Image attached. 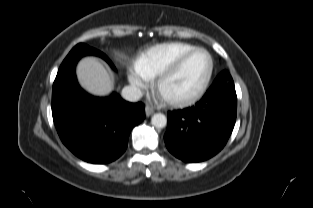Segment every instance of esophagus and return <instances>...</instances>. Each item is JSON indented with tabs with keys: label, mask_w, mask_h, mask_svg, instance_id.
<instances>
[{
	"label": "esophagus",
	"mask_w": 313,
	"mask_h": 208,
	"mask_svg": "<svg viewBox=\"0 0 313 208\" xmlns=\"http://www.w3.org/2000/svg\"><path fill=\"white\" fill-rule=\"evenodd\" d=\"M155 112L154 108L152 106H146L145 107V114L147 117L152 115Z\"/></svg>",
	"instance_id": "esophagus-1"
}]
</instances>
